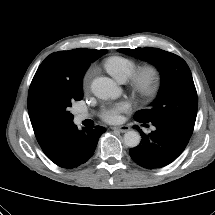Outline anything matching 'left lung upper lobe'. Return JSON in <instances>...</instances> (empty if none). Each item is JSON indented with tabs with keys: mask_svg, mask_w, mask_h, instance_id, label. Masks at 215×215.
I'll use <instances>...</instances> for the list:
<instances>
[{
	"mask_svg": "<svg viewBox=\"0 0 215 215\" xmlns=\"http://www.w3.org/2000/svg\"><path fill=\"white\" fill-rule=\"evenodd\" d=\"M118 51L152 63L161 74L157 98L150 108L136 112L134 119L165 123L191 137L197 115V92L186 62L158 48H124Z\"/></svg>",
	"mask_w": 215,
	"mask_h": 215,
	"instance_id": "1",
	"label": "left lung upper lobe"
}]
</instances>
